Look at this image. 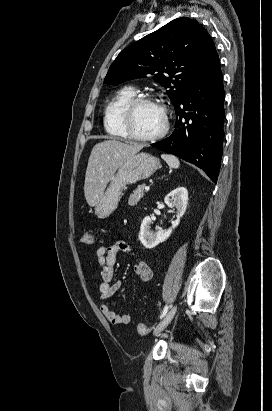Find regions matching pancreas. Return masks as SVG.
Here are the masks:
<instances>
[{
  "mask_svg": "<svg viewBox=\"0 0 272 411\" xmlns=\"http://www.w3.org/2000/svg\"><path fill=\"white\" fill-rule=\"evenodd\" d=\"M144 188H145V185H139L133 191V193L130 194V197H129V200H128V205L129 206L137 205V203L141 200V198L144 195Z\"/></svg>",
  "mask_w": 272,
  "mask_h": 411,
  "instance_id": "cf45deb5",
  "label": "pancreas"
}]
</instances>
